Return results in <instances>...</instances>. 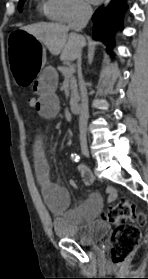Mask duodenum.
Segmentation results:
<instances>
[{
	"label": "duodenum",
	"instance_id": "duodenum-1",
	"mask_svg": "<svg viewBox=\"0 0 148 279\" xmlns=\"http://www.w3.org/2000/svg\"><path fill=\"white\" fill-rule=\"evenodd\" d=\"M70 109L73 114H79L81 112V103L77 100L71 101Z\"/></svg>",
	"mask_w": 148,
	"mask_h": 279
}]
</instances>
